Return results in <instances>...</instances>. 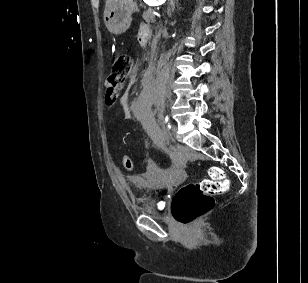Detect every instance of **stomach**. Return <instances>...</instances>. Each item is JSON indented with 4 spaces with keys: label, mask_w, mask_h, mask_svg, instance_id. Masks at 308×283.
Wrapping results in <instances>:
<instances>
[{
    "label": "stomach",
    "mask_w": 308,
    "mask_h": 283,
    "mask_svg": "<svg viewBox=\"0 0 308 283\" xmlns=\"http://www.w3.org/2000/svg\"><path fill=\"white\" fill-rule=\"evenodd\" d=\"M138 10L133 0H118L104 11V23L109 32L120 35L131 25L132 14Z\"/></svg>",
    "instance_id": "obj_1"
}]
</instances>
